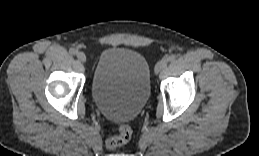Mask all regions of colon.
<instances>
[{"label":"colon","instance_id":"5ec220e1","mask_svg":"<svg viewBox=\"0 0 259 156\" xmlns=\"http://www.w3.org/2000/svg\"><path fill=\"white\" fill-rule=\"evenodd\" d=\"M132 136V130L128 125L121 124L118 126L117 135L109 138L107 140V145L109 148H116L121 145L126 144Z\"/></svg>","mask_w":259,"mask_h":156}]
</instances>
